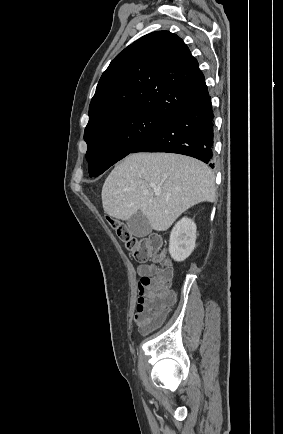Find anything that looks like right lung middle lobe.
Listing matches in <instances>:
<instances>
[{
  "instance_id": "1",
  "label": "right lung middle lobe",
  "mask_w": 283,
  "mask_h": 434,
  "mask_svg": "<svg viewBox=\"0 0 283 434\" xmlns=\"http://www.w3.org/2000/svg\"><path fill=\"white\" fill-rule=\"evenodd\" d=\"M169 117L149 111L126 113L85 129L90 177H97L132 152Z\"/></svg>"
}]
</instances>
